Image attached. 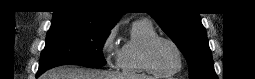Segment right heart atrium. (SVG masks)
I'll use <instances>...</instances> for the list:
<instances>
[{
    "label": "right heart atrium",
    "mask_w": 255,
    "mask_h": 79,
    "mask_svg": "<svg viewBox=\"0 0 255 79\" xmlns=\"http://www.w3.org/2000/svg\"><path fill=\"white\" fill-rule=\"evenodd\" d=\"M116 31L114 28L109 30L101 43V52L105 62L110 67L119 65L120 49L116 45Z\"/></svg>",
    "instance_id": "right-heart-atrium-1"
}]
</instances>
